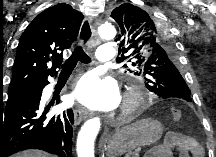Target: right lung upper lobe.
<instances>
[{
	"label": "right lung upper lobe",
	"instance_id": "cb5924a9",
	"mask_svg": "<svg viewBox=\"0 0 216 157\" xmlns=\"http://www.w3.org/2000/svg\"><path fill=\"white\" fill-rule=\"evenodd\" d=\"M82 20L83 14L65 3L36 16L21 35L8 92L42 84L56 75L61 51L74 42Z\"/></svg>",
	"mask_w": 216,
	"mask_h": 157
}]
</instances>
